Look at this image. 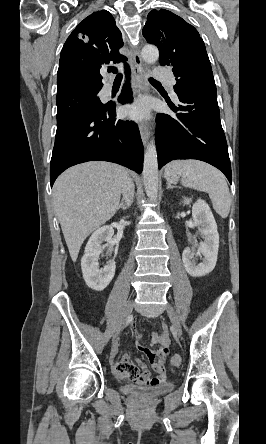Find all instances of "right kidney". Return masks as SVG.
Here are the masks:
<instances>
[{
  "mask_svg": "<svg viewBox=\"0 0 266 444\" xmlns=\"http://www.w3.org/2000/svg\"><path fill=\"white\" fill-rule=\"evenodd\" d=\"M114 230L110 226L98 228L90 237L85 254L81 260V269L86 284L93 290L102 291L112 281L115 275V261L109 260L103 269H99L98 257L102 250V243L107 242L111 249L114 245L112 237Z\"/></svg>",
  "mask_w": 266,
  "mask_h": 444,
  "instance_id": "1",
  "label": "right kidney"
}]
</instances>
